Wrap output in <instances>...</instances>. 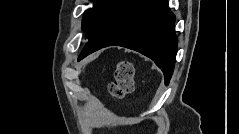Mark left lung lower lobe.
<instances>
[{"label": "left lung lower lobe", "instance_id": "0a47b994", "mask_svg": "<svg viewBox=\"0 0 239 134\" xmlns=\"http://www.w3.org/2000/svg\"><path fill=\"white\" fill-rule=\"evenodd\" d=\"M174 23L167 0H124L107 24L89 39L78 59L107 46L126 47L151 58L168 84L177 52Z\"/></svg>", "mask_w": 239, "mask_h": 134}]
</instances>
